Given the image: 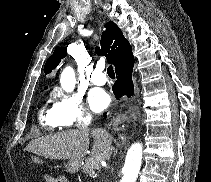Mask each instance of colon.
<instances>
[{"label": "colon", "mask_w": 211, "mask_h": 182, "mask_svg": "<svg viewBox=\"0 0 211 182\" xmlns=\"http://www.w3.org/2000/svg\"><path fill=\"white\" fill-rule=\"evenodd\" d=\"M45 182H66V179L61 175H47Z\"/></svg>", "instance_id": "5ec220e1"}]
</instances>
